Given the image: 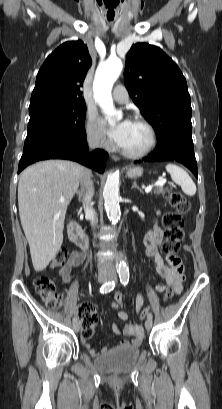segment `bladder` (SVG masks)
Segmentation results:
<instances>
[{"instance_id":"bladder-1","label":"bladder","mask_w":222,"mask_h":409,"mask_svg":"<svg viewBox=\"0 0 222 409\" xmlns=\"http://www.w3.org/2000/svg\"><path fill=\"white\" fill-rule=\"evenodd\" d=\"M139 354L140 348L136 345L117 346L98 356L94 366L104 374L126 373L134 368Z\"/></svg>"}]
</instances>
